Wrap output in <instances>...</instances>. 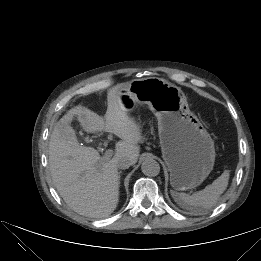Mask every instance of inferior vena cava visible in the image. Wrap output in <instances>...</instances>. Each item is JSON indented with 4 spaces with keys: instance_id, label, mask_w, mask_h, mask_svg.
<instances>
[{
    "instance_id": "1",
    "label": "inferior vena cava",
    "mask_w": 261,
    "mask_h": 261,
    "mask_svg": "<svg viewBox=\"0 0 261 261\" xmlns=\"http://www.w3.org/2000/svg\"><path fill=\"white\" fill-rule=\"evenodd\" d=\"M132 165V161L128 157H120L117 161V167L119 169H127Z\"/></svg>"
}]
</instances>
